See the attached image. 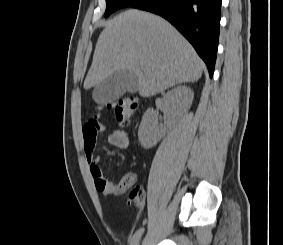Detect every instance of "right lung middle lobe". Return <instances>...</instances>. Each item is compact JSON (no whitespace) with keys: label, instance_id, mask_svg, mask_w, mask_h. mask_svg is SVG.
Here are the masks:
<instances>
[{"label":"right lung middle lobe","instance_id":"1","mask_svg":"<svg viewBox=\"0 0 283 245\" xmlns=\"http://www.w3.org/2000/svg\"><path fill=\"white\" fill-rule=\"evenodd\" d=\"M139 1L140 0H106L107 7L104 16L107 17L117 9L132 6Z\"/></svg>","mask_w":283,"mask_h":245}]
</instances>
